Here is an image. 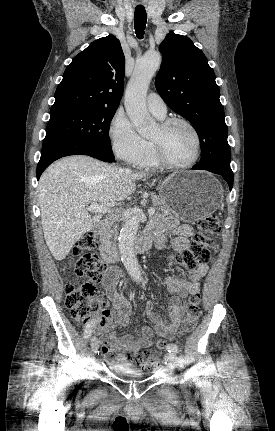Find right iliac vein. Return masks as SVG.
Here are the masks:
<instances>
[{
  "label": "right iliac vein",
  "instance_id": "obj_1",
  "mask_svg": "<svg viewBox=\"0 0 275 431\" xmlns=\"http://www.w3.org/2000/svg\"><path fill=\"white\" fill-rule=\"evenodd\" d=\"M91 349L93 351V353H97L98 349H99V340L96 337H92L91 339Z\"/></svg>",
  "mask_w": 275,
  "mask_h": 431
}]
</instances>
